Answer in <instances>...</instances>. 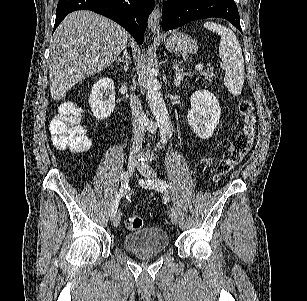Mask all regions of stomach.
Masks as SVG:
<instances>
[{
  "mask_svg": "<svg viewBox=\"0 0 307 301\" xmlns=\"http://www.w3.org/2000/svg\"><path fill=\"white\" fill-rule=\"evenodd\" d=\"M165 46L167 50L171 52H189V54H195L198 50V42L185 32H172L171 36H168L165 40Z\"/></svg>",
  "mask_w": 307,
  "mask_h": 301,
  "instance_id": "0dacf381",
  "label": "stomach"
}]
</instances>
